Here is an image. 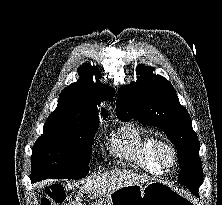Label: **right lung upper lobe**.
Listing matches in <instances>:
<instances>
[{"mask_svg": "<svg viewBox=\"0 0 222 205\" xmlns=\"http://www.w3.org/2000/svg\"><path fill=\"white\" fill-rule=\"evenodd\" d=\"M79 80L66 87L60 94L58 107L47 122H85L99 120L97 105L104 100L113 101L114 91L100 82L94 83L101 74L96 67L84 64L78 69ZM108 112L101 109V116L106 118Z\"/></svg>", "mask_w": 222, "mask_h": 205, "instance_id": "obj_1", "label": "right lung upper lobe"}]
</instances>
